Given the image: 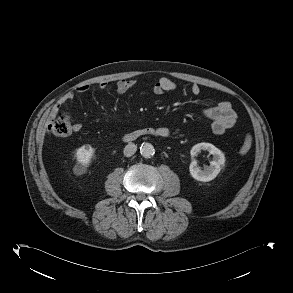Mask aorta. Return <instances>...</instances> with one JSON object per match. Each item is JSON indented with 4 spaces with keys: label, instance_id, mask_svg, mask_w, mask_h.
Returning a JSON list of instances; mask_svg holds the SVG:
<instances>
[{
    "label": "aorta",
    "instance_id": "762f6f07",
    "mask_svg": "<svg viewBox=\"0 0 293 293\" xmlns=\"http://www.w3.org/2000/svg\"><path fill=\"white\" fill-rule=\"evenodd\" d=\"M140 153L144 158H151L155 153V149L152 144L143 143L140 147Z\"/></svg>",
    "mask_w": 293,
    "mask_h": 293
}]
</instances>
